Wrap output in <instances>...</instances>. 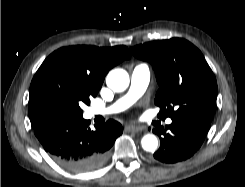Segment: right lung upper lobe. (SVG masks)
Returning a JSON list of instances; mask_svg holds the SVG:
<instances>
[{
	"mask_svg": "<svg viewBox=\"0 0 245 187\" xmlns=\"http://www.w3.org/2000/svg\"><path fill=\"white\" fill-rule=\"evenodd\" d=\"M130 57L127 47L123 45L111 48L82 45L60 48L48 58L65 62L100 89L108 71Z\"/></svg>",
	"mask_w": 245,
	"mask_h": 187,
	"instance_id": "right-lung-upper-lobe-1",
	"label": "right lung upper lobe"
}]
</instances>
